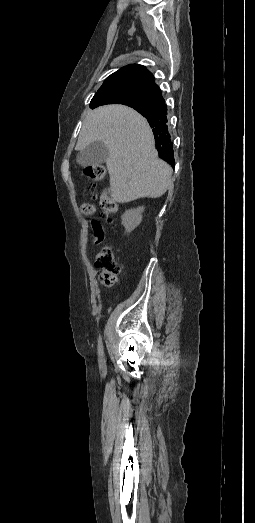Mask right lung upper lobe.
<instances>
[{"instance_id": "obj_1", "label": "right lung upper lobe", "mask_w": 255, "mask_h": 523, "mask_svg": "<svg viewBox=\"0 0 255 523\" xmlns=\"http://www.w3.org/2000/svg\"><path fill=\"white\" fill-rule=\"evenodd\" d=\"M130 89L144 91L147 94V100L121 104L134 108L147 118L150 127L153 128L159 157L174 166L173 143L168 133L166 104L159 86L154 82V76L144 66L131 64L111 74L91 100L90 107L118 103L105 98V95Z\"/></svg>"}]
</instances>
